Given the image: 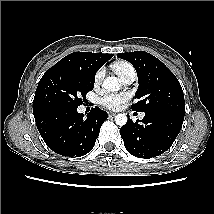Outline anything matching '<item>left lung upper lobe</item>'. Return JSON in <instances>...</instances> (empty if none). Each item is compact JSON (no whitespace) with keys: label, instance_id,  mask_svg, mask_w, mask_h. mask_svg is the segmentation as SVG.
<instances>
[{"label":"left lung upper lobe","instance_id":"1","mask_svg":"<svg viewBox=\"0 0 214 214\" xmlns=\"http://www.w3.org/2000/svg\"><path fill=\"white\" fill-rule=\"evenodd\" d=\"M137 71L139 87L132 105L134 111L166 110L185 114V101L176 76L156 57L145 52L119 53Z\"/></svg>","mask_w":214,"mask_h":214}]
</instances>
